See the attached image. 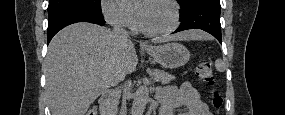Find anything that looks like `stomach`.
I'll return each mask as SVG.
<instances>
[{
  "instance_id": "obj_1",
  "label": "stomach",
  "mask_w": 285,
  "mask_h": 115,
  "mask_svg": "<svg viewBox=\"0 0 285 115\" xmlns=\"http://www.w3.org/2000/svg\"><path fill=\"white\" fill-rule=\"evenodd\" d=\"M148 53L164 68L174 69L185 65L190 58L188 49L175 42L151 47Z\"/></svg>"
}]
</instances>
